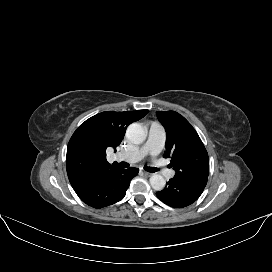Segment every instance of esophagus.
Returning <instances> with one entry per match:
<instances>
[{
    "label": "esophagus",
    "mask_w": 272,
    "mask_h": 272,
    "mask_svg": "<svg viewBox=\"0 0 272 272\" xmlns=\"http://www.w3.org/2000/svg\"><path fill=\"white\" fill-rule=\"evenodd\" d=\"M143 173H144V175H146V176H151V175H153L152 173H150V172H147V171H143Z\"/></svg>",
    "instance_id": "34e87169"
}]
</instances>
